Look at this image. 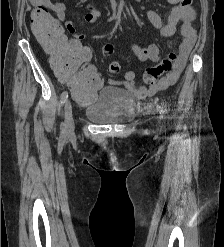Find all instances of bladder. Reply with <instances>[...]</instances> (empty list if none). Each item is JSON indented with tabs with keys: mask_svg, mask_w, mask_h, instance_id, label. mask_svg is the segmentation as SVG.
<instances>
[{
	"mask_svg": "<svg viewBox=\"0 0 224 247\" xmlns=\"http://www.w3.org/2000/svg\"><path fill=\"white\" fill-rule=\"evenodd\" d=\"M132 97L116 86H105L95 99L84 108L88 120L99 125H115L133 116Z\"/></svg>",
	"mask_w": 224,
	"mask_h": 247,
	"instance_id": "1",
	"label": "bladder"
}]
</instances>
